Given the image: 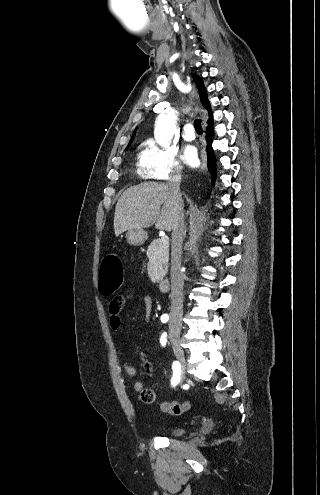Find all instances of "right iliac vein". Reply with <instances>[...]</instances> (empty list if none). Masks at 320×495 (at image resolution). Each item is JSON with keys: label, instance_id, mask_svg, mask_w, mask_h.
Segmentation results:
<instances>
[{"label": "right iliac vein", "instance_id": "63e3f726", "mask_svg": "<svg viewBox=\"0 0 320 495\" xmlns=\"http://www.w3.org/2000/svg\"><path fill=\"white\" fill-rule=\"evenodd\" d=\"M170 341L172 343L174 354L181 365V377L183 378L185 373L186 360H185L184 351L180 345L179 335L177 333H172L170 335Z\"/></svg>", "mask_w": 320, "mask_h": 495}]
</instances>
